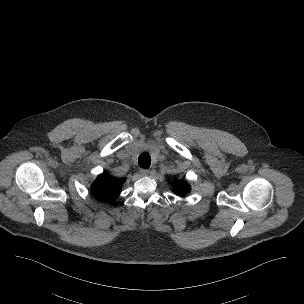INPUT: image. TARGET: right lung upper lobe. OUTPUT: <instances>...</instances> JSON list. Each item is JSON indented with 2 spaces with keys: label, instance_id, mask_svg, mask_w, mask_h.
Returning <instances> with one entry per match:
<instances>
[{
  "label": "right lung upper lobe",
  "instance_id": "1",
  "mask_svg": "<svg viewBox=\"0 0 304 304\" xmlns=\"http://www.w3.org/2000/svg\"><path fill=\"white\" fill-rule=\"evenodd\" d=\"M123 183V179L111 178L104 172L97 177L91 190L98 200L113 202L121 193V186Z\"/></svg>",
  "mask_w": 304,
  "mask_h": 304
}]
</instances>
